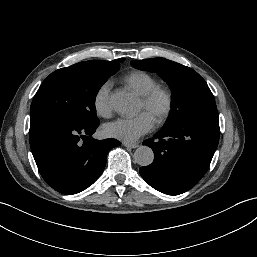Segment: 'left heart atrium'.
<instances>
[{
	"label": "left heart atrium",
	"instance_id": "39dd6f15",
	"mask_svg": "<svg viewBox=\"0 0 257 257\" xmlns=\"http://www.w3.org/2000/svg\"><path fill=\"white\" fill-rule=\"evenodd\" d=\"M155 120L146 112L136 117H121L104 126V133L110 138L132 143L154 129Z\"/></svg>",
	"mask_w": 257,
	"mask_h": 257
}]
</instances>
